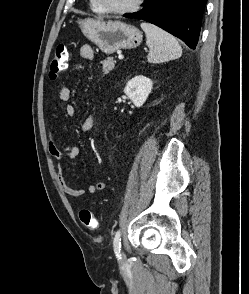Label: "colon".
Listing matches in <instances>:
<instances>
[{"label": "colon", "instance_id": "1", "mask_svg": "<svg viewBox=\"0 0 249 294\" xmlns=\"http://www.w3.org/2000/svg\"><path fill=\"white\" fill-rule=\"evenodd\" d=\"M68 61V49L66 45L60 44L53 55L49 67V77L57 79L66 69ZM79 219L83 226L88 229H96L98 221L92 211L89 209H80L78 212Z\"/></svg>", "mask_w": 249, "mask_h": 294}]
</instances>
